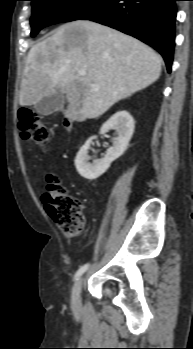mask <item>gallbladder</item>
Returning <instances> with one entry per match:
<instances>
[{
  "label": "gallbladder",
  "mask_w": 193,
  "mask_h": 349,
  "mask_svg": "<svg viewBox=\"0 0 193 349\" xmlns=\"http://www.w3.org/2000/svg\"><path fill=\"white\" fill-rule=\"evenodd\" d=\"M65 103V96L59 92L52 96L42 98L34 105V109L43 116L51 115L52 113L61 110Z\"/></svg>",
  "instance_id": "1"
}]
</instances>
